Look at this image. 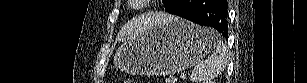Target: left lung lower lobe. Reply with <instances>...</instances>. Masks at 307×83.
I'll list each match as a JSON object with an SVG mask.
<instances>
[{"label":"left lung lower lobe","mask_w":307,"mask_h":83,"mask_svg":"<svg viewBox=\"0 0 307 83\" xmlns=\"http://www.w3.org/2000/svg\"><path fill=\"white\" fill-rule=\"evenodd\" d=\"M167 12L199 25H210L227 38V0H174Z\"/></svg>","instance_id":"obj_1"}]
</instances>
